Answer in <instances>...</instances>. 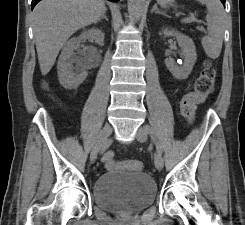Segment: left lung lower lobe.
<instances>
[{
    "label": "left lung lower lobe",
    "instance_id": "1",
    "mask_svg": "<svg viewBox=\"0 0 245 225\" xmlns=\"http://www.w3.org/2000/svg\"><path fill=\"white\" fill-rule=\"evenodd\" d=\"M222 3H223V5L225 6V0H220Z\"/></svg>",
    "mask_w": 245,
    "mask_h": 225
}]
</instances>
